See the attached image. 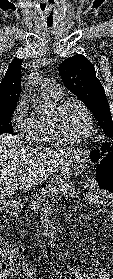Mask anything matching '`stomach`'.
Listing matches in <instances>:
<instances>
[{
  "label": "stomach",
  "mask_w": 113,
  "mask_h": 279,
  "mask_svg": "<svg viewBox=\"0 0 113 279\" xmlns=\"http://www.w3.org/2000/svg\"><path fill=\"white\" fill-rule=\"evenodd\" d=\"M90 162L89 153L82 150H72L69 158L61 165V175L64 179L78 176Z\"/></svg>",
  "instance_id": "1"
}]
</instances>
